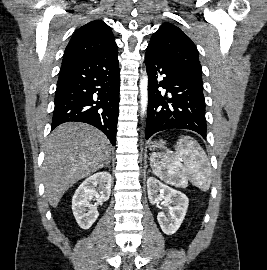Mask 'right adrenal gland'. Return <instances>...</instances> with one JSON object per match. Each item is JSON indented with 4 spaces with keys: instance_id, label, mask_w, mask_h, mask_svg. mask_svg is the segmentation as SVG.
Returning <instances> with one entry per match:
<instances>
[{
    "instance_id": "right-adrenal-gland-1",
    "label": "right adrenal gland",
    "mask_w": 267,
    "mask_h": 270,
    "mask_svg": "<svg viewBox=\"0 0 267 270\" xmlns=\"http://www.w3.org/2000/svg\"><path fill=\"white\" fill-rule=\"evenodd\" d=\"M105 167H108L110 169L111 168L110 167V162L108 164H106Z\"/></svg>"
}]
</instances>
